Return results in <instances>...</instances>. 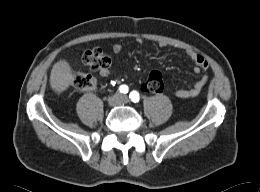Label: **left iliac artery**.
<instances>
[{
    "instance_id": "left-iliac-artery-1",
    "label": "left iliac artery",
    "mask_w": 260,
    "mask_h": 192,
    "mask_svg": "<svg viewBox=\"0 0 260 192\" xmlns=\"http://www.w3.org/2000/svg\"><path fill=\"white\" fill-rule=\"evenodd\" d=\"M129 96L131 101H133L134 103L139 102L140 100V95L137 91H132Z\"/></svg>"
}]
</instances>
